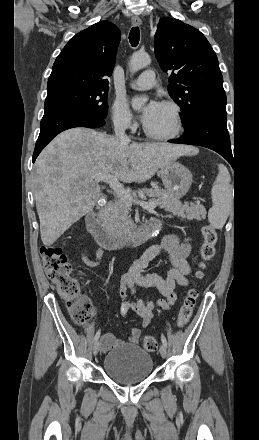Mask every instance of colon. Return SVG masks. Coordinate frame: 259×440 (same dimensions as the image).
<instances>
[{
	"label": "colon",
	"mask_w": 259,
	"mask_h": 440,
	"mask_svg": "<svg viewBox=\"0 0 259 440\" xmlns=\"http://www.w3.org/2000/svg\"><path fill=\"white\" fill-rule=\"evenodd\" d=\"M203 242L200 247L201 262L196 272V278L203 275L205 263L215 254L217 232L211 225L202 228ZM40 254L48 278L56 285L61 298L66 302L72 320L83 325L92 313L90 300L81 294L78 280L72 275L70 263L63 249L58 246L46 245L40 248ZM198 298V290L192 287L183 299L177 317V325L185 326L190 320ZM143 347L148 351L158 348V341L152 336H145L142 340Z\"/></svg>",
	"instance_id": "5ec220e1"
}]
</instances>
